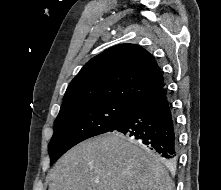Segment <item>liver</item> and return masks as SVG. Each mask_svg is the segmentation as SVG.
Returning a JSON list of instances; mask_svg holds the SVG:
<instances>
[{
    "instance_id": "6515ba94",
    "label": "liver",
    "mask_w": 221,
    "mask_h": 190,
    "mask_svg": "<svg viewBox=\"0 0 221 190\" xmlns=\"http://www.w3.org/2000/svg\"><path fill=\"white\" fill-rule=\"evenodd\" d=\"M48 180V190H173L160 161L117 132L70 149L51 169Z\"/></svg>"
}]
</instances>
